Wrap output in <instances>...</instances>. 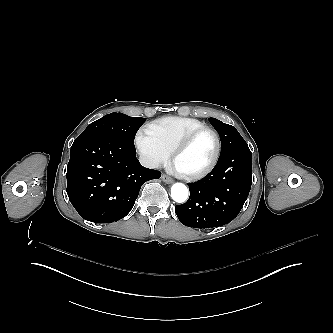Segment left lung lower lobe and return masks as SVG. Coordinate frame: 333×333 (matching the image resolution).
I'll return each mask as SVG.
<instances>
[{"label":"left lung lower lobe","instance_id":"0a47b994","mask_svg":"<svg viewBox=\"0 0 333 333\" xmlns=\"http://www.w3.org/2000/svg\"><path fill=\"white\" fill-rule=\"evenodd\" d=\"M252 184V154L248 146L219 157L214 169L189 183L190 197L175 211L182 224L213 228L232 221L241 211Z\"/></svg>","mask_w":333,"mask_h":333}]
</instances>
